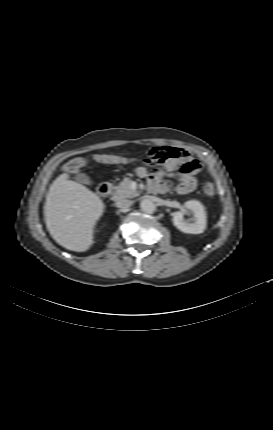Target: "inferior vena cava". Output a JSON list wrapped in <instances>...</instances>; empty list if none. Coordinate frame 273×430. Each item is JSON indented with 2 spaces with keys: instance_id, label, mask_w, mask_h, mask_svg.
Masks as SVG:
<instances>
[{
  "instance_id": "obj_1",
  "label": "inferior vena cava",
  "mask_w": 273,
  "mask_h": 430,
  "mask_svg": "<svg viewBox=\"0 0 273 430\" xmlns=\"http://www.w3.org/2000/svg\"><path fill=\"white\" fill-rule=\"evenodd\" d=\"M132 205V201L128 199H120L115 203L118 208H128Z\"/></svg>"
}]
</instances>
